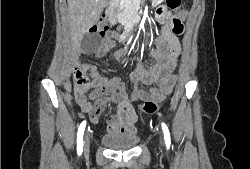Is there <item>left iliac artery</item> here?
<instances>
[{
  "label": "left iliac artery",
  "mask_w": 250,
  "mask_h": 169,
  "mask_svg": "<svg viewBox=\"0 0 250 169\" xmlns=\"http://www.w3.org/2000/svg\"><path fill=\"white\" fill-rule=\"evenodd\" d=\"M162 130H163V133H164V139H165L166 147H167V149H169L170 148V144H171V139H170L169 129L166 126L165 123H162Z\"/></svg>",
  "instance_id": "obj_1"
}]
</instances>
